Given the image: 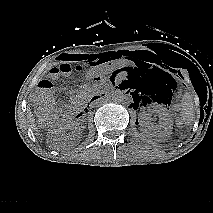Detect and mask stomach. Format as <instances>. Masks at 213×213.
Instances as JSON below:
<instances>
[{"mask_svg":"<svg viewBox=\"0 0 213 213\" xmlns=\"http://www.w3.org/2000/svg\"><path fill=\"white\" fill-rule=\"evenodd\" d=\"M128 66V61L125 58H118L104 65L102 63H96L87 70V77L90 80H95L104 71L106 73H112L121 69H125Z\"/></svg>","mask_w":213,"mask_h":213,"instance_id":"1","label":"stomach"}]
</instances>
